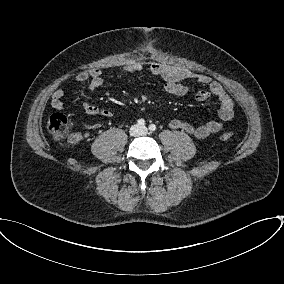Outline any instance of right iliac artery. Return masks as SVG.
Returning <instances> with one entry per match:
<instances>
[{
  "instance_id": "right-iliac-artery-1",
  "label": "right iliac artery",
  "mask_w": 284,
  "mask_h": 284,
  "mask_svg": "<svg viewBox=\"0 0 284 284\" xmlns=\"http://www.w3.org/2000/svg\"><path fill=\"white\" fill-rule=\"evenodd\" d=\"M137 123H138L139 126H144L145 125V120L144 119H139L137 121Z\"/></svg>"
}]
</instances>
